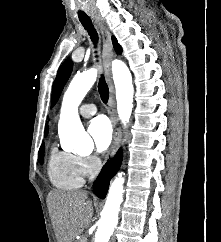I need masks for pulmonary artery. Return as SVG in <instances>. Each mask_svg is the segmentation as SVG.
Instances as JSON below:
<instances>
[{"mask_svg":"<svg viewBox=\"0 0 221 242\" xmlns=\"http://www.w3.org/2000/svg\"><path fill=\"white\" fill-rule=\"evenodd\" d=\"M96 111H97V109L94 104H83L79 108V113L83 117H90V116L94 115L96 113Z\"/></svg>","mask_w":221,"mask_h":242,"instance_id":"obj_1","label":"pulmonary artery"}]
</instances>
